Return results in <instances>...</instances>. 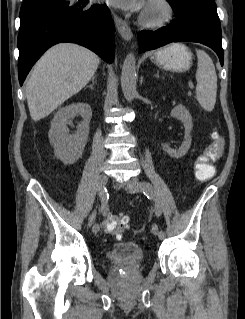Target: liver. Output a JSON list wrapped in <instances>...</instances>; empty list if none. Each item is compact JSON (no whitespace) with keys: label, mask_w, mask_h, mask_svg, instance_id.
<instances>
[{"label":"liver","mask_w":245,"mask_h":319,"mask_svg":"<svg viewBox=\"0 0 245 319\" xmlns=\"http://www.w3.org/2000/svg\"><path fill=\"white\" fill-rule=\"evenodd\" d=\"M100 63L92 51L71 43L49 49L35 64L26 84L32 120L39 121L78 93L95 74Z\"/></svg>","instance_id":"obj_1"}]
</instances>
